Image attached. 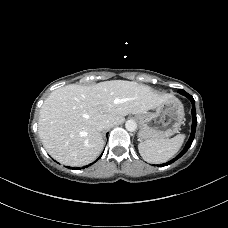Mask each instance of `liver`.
Returning a JSON list of instances; mask_svg holds the SVG:
<instances>
[{
	"label": "liver",
	"mask_w": 228,
	"mask_h": 228,
	"mask_svg": "<svg viewBox=\"0 0 228 228\" xmlns=\"http://www.w3.org/2000/svg\"><path fill=\"white\" fill-rule=\"evenodd\" d=\"M169 94L134 81L111 80L92 86L70 84L53 91L40 109L38 133L51 157L70 166H83L102 152L97 124L124 122L130 113L161 105Z\"/></svg>",
	"instance_id": "liver-1"
}]
</instances>
